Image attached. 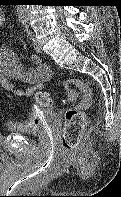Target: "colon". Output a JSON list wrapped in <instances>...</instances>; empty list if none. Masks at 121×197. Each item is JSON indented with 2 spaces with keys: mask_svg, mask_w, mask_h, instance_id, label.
Segmentation results:
<instances>
[{
  "mask_svg": "<svg viewBox=\"0 0 121 197\" xmlns=\"http://www.w3.org/2000/svg\"><path fill=\"white\" fill-rule=\"evenodd\" d=\"M65 90L64 103L75 101L81 95L79 102L69 108L65 113V124L62 130L61 142L65 151L72 152L76 149L86 126L84 110L89 108L93 102L91 88L83 81L76 78L62 80ZM35 100L39 106L51 107L54 101L51 96L43 91H38Z\"/></svg>",
  "mask_w": 121,
  "mask_h": 197,
  "instance_id": "5ec220e1",
  "label": "colon"
}]
</instances>
